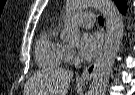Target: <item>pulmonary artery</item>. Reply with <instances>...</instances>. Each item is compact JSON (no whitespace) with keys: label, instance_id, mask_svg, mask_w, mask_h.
I'll list each match as a JSON object with an SVG mask.
<instances>
[{"label":"pulmonary artery","instance_id":"e3ab8cb5","mask_svg":"<svg viewBox=\"0 0 135 95\" xmlns=\"http://www.w3.org/2000/svg\"><path fill=\"white\" fill-rule=\"evenodd\" d=\"M93 14L90 12H84L81 13L78 17L77 20L79 21L80 24H82L85 27L91 26L93 23Z\"/></svg>","mask_w":135,"mask_h":95}]
</instances>
